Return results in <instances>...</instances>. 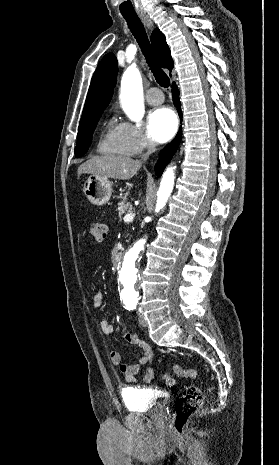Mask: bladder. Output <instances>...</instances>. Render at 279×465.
Returning a JSON list of instances; mask_svg holds the SVG:
<instances>
[{
    "label": "bladder",
    "mask_w": 279,
    "mask_h": 465,
    "mask_svg": "<svg viewBox=\"0 0 279 465\" xmlns=\"http://www.w3.org/2000/svg\"><path fill=\"white\" fill-rule=\"evenodd\" d=\"M121 396L126 409L130 412L162 414L169 400V396L164 392L139 386L123 388Z\"/></svg>",
    "instance_id": "1"
}]
</instances>
